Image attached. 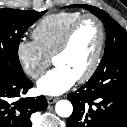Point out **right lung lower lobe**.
I'll return each instance as SVG.
<instances>
[{
  "mask_svg": "<svg viewBox=\"0 0 127 127\" xmlns=\"http://www.w3.org/2000/svg\"><path fill=\"white\" fill-rule=\"evenodd\" d=\"M33 83L0 67V127H32L31 114L47 107L44 96L21 97Z\"/></svg>",
  "mask_w": 127,
  "mask_h": 127,
  "instance_id": "obj_1",
  "label": "right lung lower lobe"
}]
</instances>
